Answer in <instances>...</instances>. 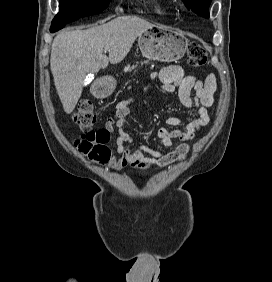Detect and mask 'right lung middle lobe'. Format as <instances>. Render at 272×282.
Masks as SVG:
<instances>
[{
  "instance_id": "dd1d6c3e",
  "label": "right lung middle lobe",
  "mask_w": 272,
  "mask_h": 282,
  "mask_svg": "<svg viewBox=\"0 0 272 282\" xmlns=\"http://www.w3.org/2000/svg\"><path fill=\"white\" fill-rule=\"evenodd\" d=\"M111 0H59V13L51 26L73 22L81 17L103 11Z\"/></svg>"
}]
</instances>
